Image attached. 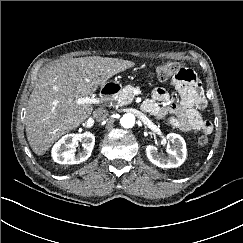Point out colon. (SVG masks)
I'll return each instance as SVG.
<instances>
[{
	"instance_id": "1",
	"label": "colon",
	"mask_w": 243,
	"mask_h": 243,
	"mask_svg": "<svg viewBox=\"0 0 243 243\" xmlns=\"http://www.w3.org/2000/svg\"><path fill=\"white\" fill-rule=\"evenodd\" d=\"M190 74L191 70L179 61H168L157 68V78L160 81H167L169 79L185 80L189 78ZM197 142L200 146H205L208 144V138L200 136Z\"/></svg>"
}]
</instances>
